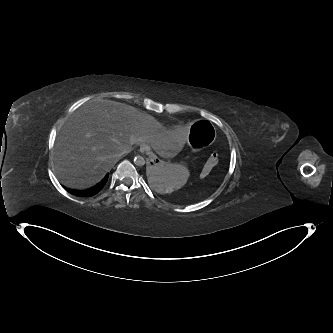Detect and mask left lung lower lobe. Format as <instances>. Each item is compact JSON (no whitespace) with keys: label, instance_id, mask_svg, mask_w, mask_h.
I'll return each instance as SVG.
<instances>
[{"label":"left lung lower lobe","instance_id":"left-lung-lower-lobe-1","mask_svg":"<svg viewBox=\"0 0 333 333\" xmlns=\"http://www.w3.org/2000/svg\"><path fill=\"white\" fill-rule=\"evenodd\" d=\"M147 175H148V176H149V175L154 176V175H155V172H154L153 170H151V169H148V170H147Z\"/></svg>","mask_w":333,"mask_h":333}]
</instances>
